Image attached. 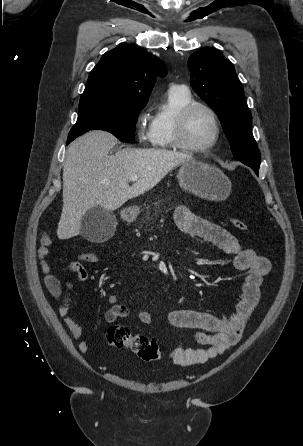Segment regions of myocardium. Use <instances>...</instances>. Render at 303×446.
Wrapping results in <instances>:
<instances>
[{
    "mask_svg": "<svg viewBox=\"0 0 303 446\" xmlns=\"http://www.w3.org/2000/svg\"><path fill=\"white\" fill-rule=\"evenodd\" d=\"M196 109H203L206 111L213 123L214 127V135L212 140L204 145V146H193L186 141L185 132H186V124L190 114ZM221 134V126L218 119V116L213 108L209 105L193 101L182 108L179 113L176 115L174 122V144L175 147L192 153H204L212 148L218 143Z\"/></svg>",
    "mask_w": 303,
    "mask_h": 446,
    "instance_id": "obj_1",
    "label": "myocardium"
}]
</instances>
